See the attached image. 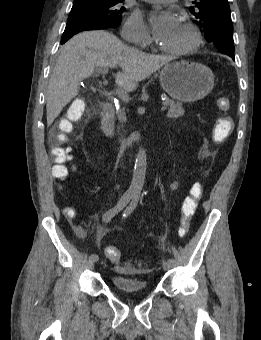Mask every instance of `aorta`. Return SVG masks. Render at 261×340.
Here are the masks:
<instances>
[{
	"instance_id": "762f6f07",
	"label": "aorta",
	"mask_w": 261,
	"mask_h": 340,
	"mask_svg": "<svg viewBox=\"0 0 261 340\" xmlns=\"http://www.w3.org/2000/svg\"><path fill=\"white\" fill-rule=\"evenodd\" d=\"M147 156L144 148H140L137 155L133 171V177L128 189V193L133 196L140 195L146 175Z\"/></svg>"
}]
</instances>
